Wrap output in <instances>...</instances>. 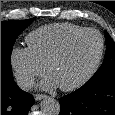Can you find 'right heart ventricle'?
I'll use <instances>...</instances> for the list:
<instances>
[{"mask_svg": "<svg viewBox=\"0 0 115 115\" xmlns=\"http://www.w3.org/2000/svg\"><path fill=\"white\" fill-rule=\"evenodd\" d=\"M85 29L71 23H53L41 26L26 36L27 48L43 66L71 35Z\"/></svg>", "mask_w": 115, "mask_h": 115, "instance_id": "right-heart-ventricle-1", "label": "right heart ventricle"}]
</instances>
